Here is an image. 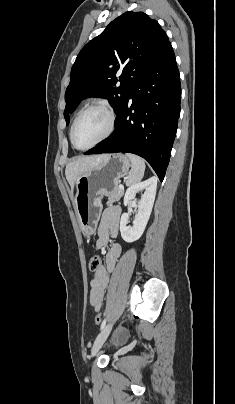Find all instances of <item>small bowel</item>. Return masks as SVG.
Returning a JSON list of instances; mask_svg holds the SVG:
<instances>
[{
    "mask_svg": "<svg viewBox=\"0 0 235 404\" xmlns=\"http://www.w3.org/2000/svg\"><path fill=\"white\" fill-rule=\"evenodd\" d=\"M121 210L117 207L107 209L101 218L98 227L97 247L104 248L110 241V237L116 238L119 233ZM122 252L121 245L114 241L105 254V265L94 271L90 282V304L94 311L101 310L104 294L110 281V274L114 270L118 258Z\"/></svg>",
    "mask_w": 235,
    "mask_h": 404,
    "instance_id": "1",
    "label": "small bowel"
}]
</instances>
